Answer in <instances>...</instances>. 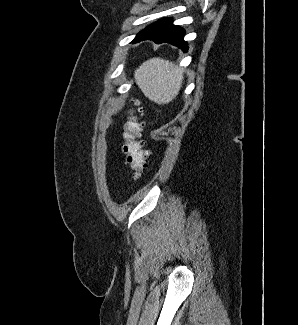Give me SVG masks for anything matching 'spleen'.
I'll return each instance as SVG.
<instances>
[{
	"mask_svg": "<svg viewBox=\"0 0 298 325\" xmlns=\"http://www.w3.org/2000/svg\"><path fill=\"white\" fill-rule=\"evenodd\" d=\"M134 78L149 100L157 104H168L179 94L183 72L170 60L154 56L136 68Z\"/></svg>",
	"mask_w": 298,
	"mask_h": 325,
	"instance_id": "3e777b00",
	"label": "spleen"
}]
</instances>
